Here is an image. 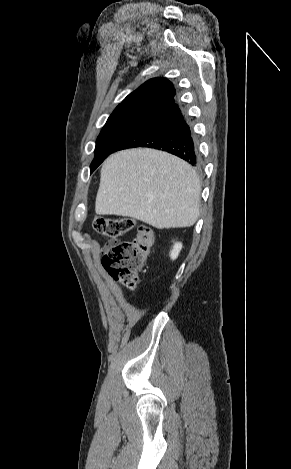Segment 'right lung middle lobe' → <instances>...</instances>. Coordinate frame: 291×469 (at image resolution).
Wrapping results in <instances>:
<instances>
[{
    "instance_id": "dd1d6c3e",
    "label": "right lung middle lobe",
    "mask_w": 291,
    "mask_h": 469,
    "mask_svg": "<svg viewBox=\"0 0 291 469\" xmlns=\"http://www.w3.org/2000/svg\"><path fill=\"white\" fill-rule=\"evenodd\" d=\"M151 116L153 115L133 111L111 114L97 138L95 158L90 166L91 172L103 162L121 141Z\"/></svg>"
}]
</instances>
